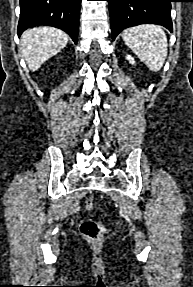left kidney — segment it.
Instances as JSON below:
<instances>
[{"mask_svg": "<svg viewBox=\"0 0 193 287\" xmlns=\"http://www.w3.org/2000/svg\"><path fill=\"white\" fill-rule=\"evenodd\" d=\"M126 59H127L131 64H135L134 59H133L130 55H127V56H126Z\"/></svg>", "mask_w": 193, "mask_h": 287, "instance_id": "left-kidney-1", "label": "left kidney"}]
</instances>
